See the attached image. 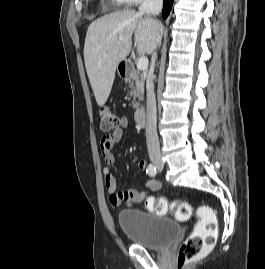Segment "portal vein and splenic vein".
<instances>
[{
	"instance_id": "portal-vein-and-splenic-vein-1",
	"label": "portal vein and splenic vein",
	"mask_w": 265,
	"mask_h": 269,
	"mask_svg": "<svg viewBox=\"0 0 265 269\" xmlns=\"http://www.w3.org/2000/svg\"><path fill=\"white\" fill-rule=\"evenodd\" d=\"M119 40L122 41L123 38L119 37ZM148 67V58L146 56H141L137 61V69L142 71Z\"/></svg>"
}]
</instances>
